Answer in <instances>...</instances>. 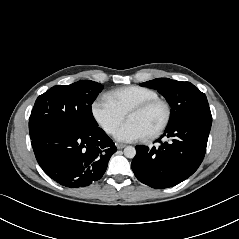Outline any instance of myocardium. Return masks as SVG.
Here are the masks:
<instances>
[{"mask_svg":"<svg viewBox=\"0 0 239 239\" xmlns=\"http://www.w3.org/2000/svg\"><path fill=\"white\" fill-rule=\"evenodd\" d=\"M156 105H161L163 107L164 117L161 124L153 132L145 136V139H148V140L159 137L168 127L171 120V116H172V110H171L170 104L166 100L158 97V98H154L136 105L135 107L130 109L128 113L126 114L128 118L132 114L145 112Z\"/></svg>","mask_w":239,"mask_h":239,"instance_id":"obj_1","label":"myocardium"}]
</instances>
